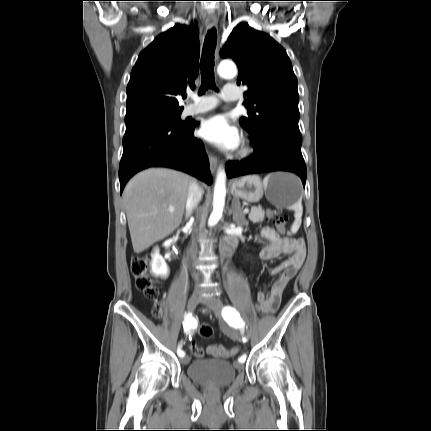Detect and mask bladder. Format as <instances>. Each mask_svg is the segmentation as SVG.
Masks as SVG:
<instances>
[{
    "label": "bladder",
    "mask_w": 431,
    "mask_h": 431,
    "mask_svg": "<svg viewBox=\"0 0 431 431\" xmlns=\"http://www.w3.org/2000/svg\"><path fill=\"white\" fill-rule=\"evenodd\" d=\"M188 377L198 385L223 388L231 385L237 376L234 365L222 359H200L187 368Z\"/></svg>",
    "instance_id": "1"
}]
</instances>
